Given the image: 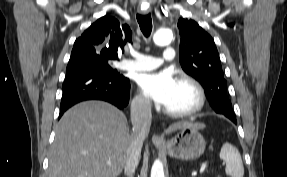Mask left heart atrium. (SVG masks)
Masks as SVG:
<instances>
[{
    "instance_id": "39dd6f15",
    "label": "left heart atrium",
    "mask_w": 287,
    "mask_h": 177,
    "mask_svg": "<svg viewBox=\"0 0 287 177\" xmlns=\"http://www.w3.org/2000/svg\"><path fill=\"white\" fill-rule=\"evenodd\" d=\"M177 78L169 70L143 74L138 80L141 92L157 104L165 105L173 93Z\"/></svg>"
}]
</instances>
